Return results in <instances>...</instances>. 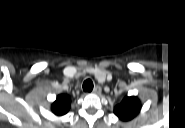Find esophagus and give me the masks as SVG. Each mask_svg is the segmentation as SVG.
I'll list each match as a JSON object with an SVG mask.
<instances>
[{
	"label": "esophagus",
	"mask_w": 185,
	"mask_h": 128,
	"mask_svg": "<svg viewBox=\"0 0 185 128\" xmlns=\"http://www.w3.org/2000/svg\"><path fill=\"white\" fill-rule=\"evenodd\" d=\"M93 92L100 93L101 92V87L100 86H95L94 89H93Z\"/></svg>",
	"instance_id": "1"
}]
</instances>
